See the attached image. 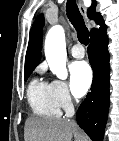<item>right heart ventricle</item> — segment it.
Returning <instances> with one entry per match:
<instances>
[{"instance_id":"e07e8e85","label":"right heart ventricle","mask_w":119,"mask_h":141,"mask_svg":"<svg viewBox=\"0 0 119 141\" xmlns=\"http://www.w3.org/2000/svg\"><path fill=\"white\" fill-rule=\"evenodd\" d=\"M27 97L32 111L36 115L48 118L60 116L61 107L56 100L51 83L38 78L33 79L29 84Z\"/></svg>"}]
</instances>
